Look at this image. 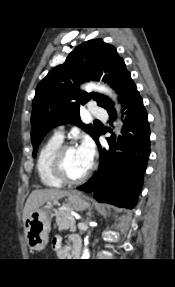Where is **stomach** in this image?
Listing matches in <instances>:
<instances>
[{
    "instance_id": "stomach-1",
    "label": "stomach",
    "mask_w": 175,
    "mask_h": 287,
    "mask_svg": "<svg viewBox=\"0 0 175 287\" xmlns=\"http://www.w3.org/2000/svg\"><path fill=\"white\" fill-rule=\"evenodd\" d=\"M67 206L73 210H84L90 206L86 197L77 191L67 195ZM51 204L32 211L24 221V233L27 245L32 251H41L49 241L51 230Z\"/></svg>"
}]
</instances>
